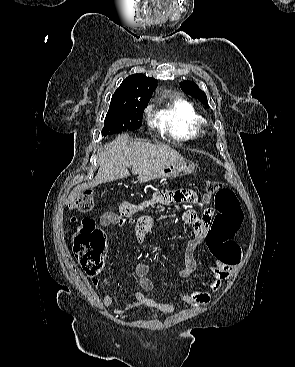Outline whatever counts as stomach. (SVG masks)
<instances>
[{
    "instance_id": "stomach-1",
    "label": "stomach",
    "mask_w": 295,
    "mask_h": 367,
    "mask_svg": "<svg viewBox=\"0 0 295 367\" xmlns=\"http://www.w3.org/2000/svg\"><path fill=\"white\" fill-rule=\"evenodd\" d=\"M195 165L191 162L179 161L158 170L142 174L138 177L140 182H147L158 178H177L191 174Z\"/></svg>"
}]
</instances>
